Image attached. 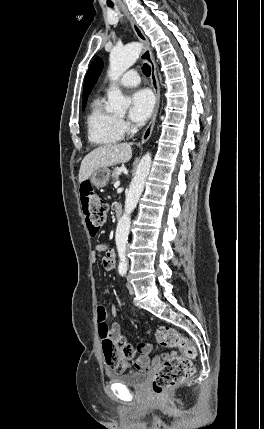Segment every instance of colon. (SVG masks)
I'll list each match as a JSON object with an SVG mask.
<instances>
[{
  "mask_svg": "<svg viewBox=\"0 0 264 429\" xmlns=\"http://www.w3.org/2000/svg\"><path fill=\"white\" fill-rule=\"evenodd\" d=\"M80 198L88 229L94 235L105 223L107 204L94 192L89 183L80 186ZM105 318L106 314L101 309L98 319L103 322ZM154 337L161 346L178 349L181 353L169 355L154 376L152 390L156 395H162L193 374L192 358L195 357L196 350L188 339L171 327H159L154 332ZM103 353L107 364L120 372L121 363L132 357V348L122 337L115 341L107 339L103 344Z\"/></svg>",
  "mask_w": 264,
  "mask_h": 429,
  "instance_id": "5ec220e1",
  "label": "colon"
}]
</instances>
